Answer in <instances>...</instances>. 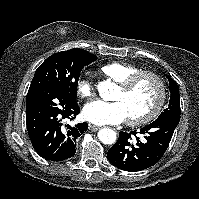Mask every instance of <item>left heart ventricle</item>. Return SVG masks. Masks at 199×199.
I'll use <instances>...</instances> for the list:
<instances>
[{
	"mask_svg": "<svg viewBox=\"0 0 199 199\" xmlns=\"http://www.w3.org/2000/svg\"><path fill=\"white\" fill-rule=\"evenodd\" d=\"M157 96L158 86L156 82L151 78H144L129 91H123L118 87L113 99L122 102L127 117L138 118L151 110Z\"/></svg>",
	"mask_w": 199,
	"mask_h": 199,
	"instance_id": "b2bd125f",
	"label": "left heart ventricle"
}]
</instances>
